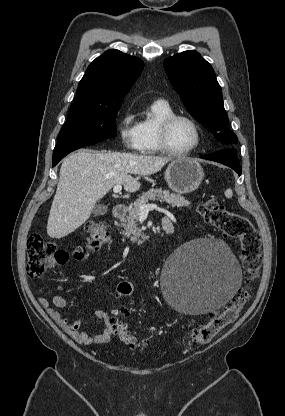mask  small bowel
I'll list each match as a JSON object with an SVG mask.
<instances>
[{"instance_id":"obj_1","label":"small bowel","mask_w":285,"mask_h":416,"mask_svg":"<svg viewBox=\"0 0 285 416\" xmlns=\"http://www.w3.org/2000/svg\"><path fill=\"white\" fill-rule=\"evenodd\" d=\"M164 220H169L170 218H165ZM39 302L44 308L49 317L60 327L67 335H69L75 342L81 345H93V344H104L108 342L112 335L114 334L113 326L111 323V316L109 313L103 310H97L94 312V315L103 322V329L98 334H88L81 329L82 319L77 318L76 320L70 322L66 317H64L59 311L55 308H65L67 306L66 299L61 295H55L52 298V307L51 303L40 297Z\"/></svg>"}]
</instances>
